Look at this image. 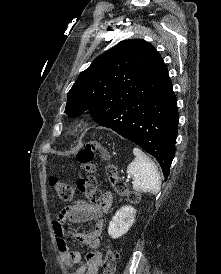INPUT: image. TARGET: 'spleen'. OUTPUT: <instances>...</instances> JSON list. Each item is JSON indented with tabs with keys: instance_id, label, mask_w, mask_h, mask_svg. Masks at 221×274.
<instances>
[{
	"instance_id": "spleen-1",
	"label": "spleen",
	"mask_w": 221,
	"mask_h": 274,
	"mask_svg": "<svg viewBox=\"0 0 221 274\" xmlns=\"http://www.w3.org/2000/svg\"><path fill=\"white\" fill-rule=\"evenodd\" d=\"M135 159L128 165L127 173L133 177V189L139 192L159 193L161 179L156 164L139 148L133 149Z\"/></svg>"
}]
</instances>
